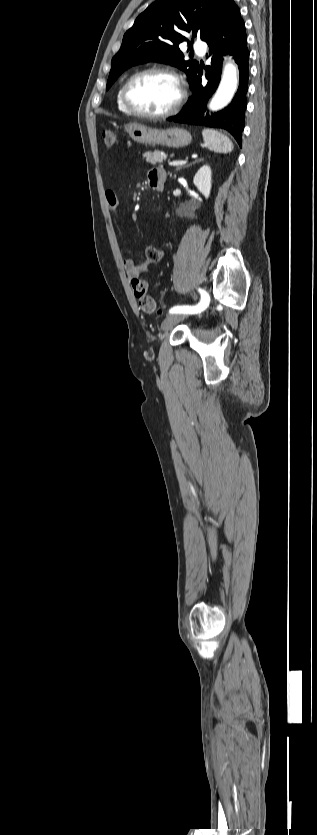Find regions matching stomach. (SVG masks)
<instances>
[{
    "mask_svg": "<svg viewBox=\"0 0 317 835\" xmlns=\"http://www.w3.org/2000/svg\"><path fill=\"white\" fill-rule=\"evenodd\" d=\"M125 131L130 138L139 144L162 145L182 148L191 144L190 132L182 128L157 129L139 123L125 125Z\"/></svg>",
    "mask_w": 317,
    "mask_h": 835,
    "instance_id": "0dacf381",
    "label": "stomach"
}]
</instances>
